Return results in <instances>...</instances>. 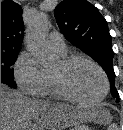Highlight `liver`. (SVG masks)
<instances>
[{
    "label": "liver",
    "instance_id": "obj_1",
    "mask_svg": "<svg viewBox=\"0 0 123 130\" xmlns=\"http://www.w3.org/2000/svg\"><path fill=\"white\" fill-rule=\"evenodd\" d=\"M99 121V109L31 99L1 83V130H64Z\"/></svg>",
    "mask_w": 123,
    "mask_h": 130
}]
</instances>
